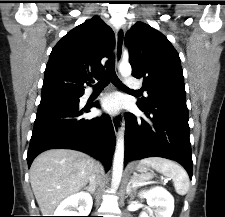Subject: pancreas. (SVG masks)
<instances>
[{"mask_svg":"<svg viewBox=\"0 0 225 217\" xmlns=\"http://www.w3.org/2000/svg\"><path fill=\"white\" fill-rule=\"evenodd\" d=\"M150 178H151V175H149V174H147V175H137V174H135V175H133L131 181L133 183L137 184V183L145 182V181L149 180Z\"/></svg>","mask_w":225,"mask_h":217,"instance_id":"obj_1","label":"pancreas"}]
</instances>
